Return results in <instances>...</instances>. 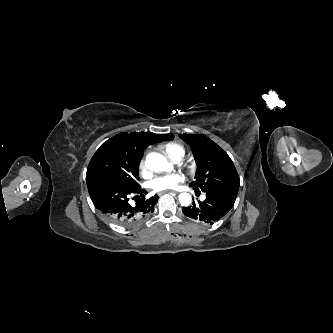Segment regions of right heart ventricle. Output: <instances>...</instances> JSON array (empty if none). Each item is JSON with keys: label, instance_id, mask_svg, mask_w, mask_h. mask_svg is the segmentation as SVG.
Instances as JSON below:
<instances>
[{"label": "right heart ventricle", "instance_id": "1", "mask_svg": "<svg viewBox=\"0 0 333 333\" xmlns=\"http://www.w3.org/2000/svg\"><path fill=\"white\" fill-rule=\"evenodd\" d=\"M164 151L170 159H175L176 157H184V148L177 143H169L164 146Z\"/></svg>", "mask_w": 333, "mask_h": 333}]
</instances>
